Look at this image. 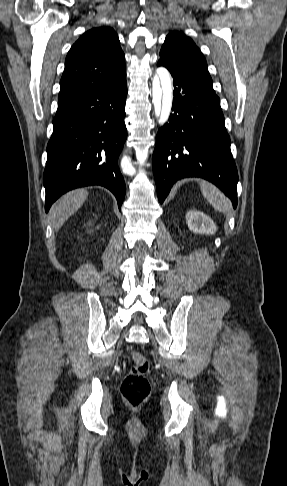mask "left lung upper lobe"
<instances>
[{
    "label": "left lung upper lobe",
    "mask_w": 287,
    "mask_h": 486,
    "mask_svg": "<svg viewBox=\"0 0 287 486\" xmlns=\"http://www.w3.org/2000/svg\"><path fill=\"white\" fill-rule=\"evenodd\" d=\"M160 58L171 67L213 90L212 79L203 54L195 43L182 32L174 31L167 35L160 51Z\"/></svg>",
    "instance_id": "left-lung-upper-lobe-1"
}]
</instances>
